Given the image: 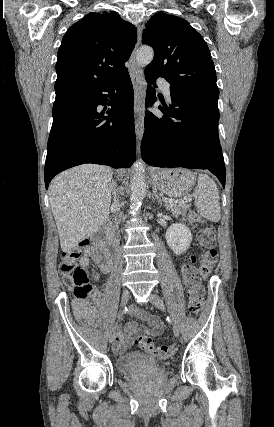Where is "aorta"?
Segmentation results:
<instances>
[{
  "instance_id": "762f6f07",
  "label": "aorta",
  "mask_w": 274,
  "mask_h": 427,
  "mask_svg": "<svg viewBox=\"0 0 274 427\" xmlns=\"http://www.w3.org/2000/svg\"><path fill=\"white\" fill-rule=\"evenodd\" d=\"M154 57V51L149 46H142L137 54V63L145 67L151 63ZM131 206L130 213L135 215L144 199L146 193V181H145V166L142 163L135 164V173L131 180Z\"/></svg>"
}]
</instances>
